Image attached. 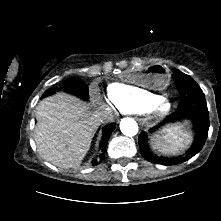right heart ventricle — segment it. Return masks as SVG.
<instances>
[{"instance_id": "right-heart-ventricle-1", "label": "right heart ventricle", "mask_w": 221, "mask_h": 221, "mask_svg": "<svg viewBox=\"0 0 221 221\" xmlns=\"http://www.w3.org/2000/svg\"><path fill=\"white\" fill-rule=\"evenodd\" d=\"M107 93L115 109L123 114L143 113L160 97L139 86L120 82L110 84Z\"/></svg>"}]
</instances>
